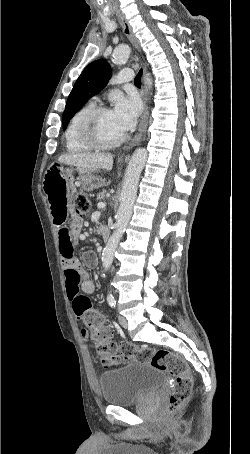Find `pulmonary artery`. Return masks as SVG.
<instances>
[{
  "label": "pulmonary artery",
  "instance_id": "e3ab8cb5",
  "mask_svg": "<svg viewBox=\"0 0 250 454\" xmlns=\"http://www.w3.org/2000/svg\"><path fill=\"white\" fill-rule=\"evenodd\" d=\"M133 79V72L131 69H122L114 77V83H128Z\"/></svg>",
  "mask_w": 250,
  "mask_h": 454
}]
</instances>
